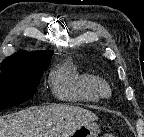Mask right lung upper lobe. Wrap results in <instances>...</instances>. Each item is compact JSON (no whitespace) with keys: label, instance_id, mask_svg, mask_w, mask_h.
Returning <instances> with one entry per match:
<instances>
[{"label":"right lung upper lobe","instance_id":"cb5924a9","mask_svg":"<svg viewBox=\"0 0 144 137\" xmlns=\"http://www.w3.org/2000/svg\"><path fill=\"white\" fill-rule=\"evenodd\" d=\"M52 51H40L34 54L28 52H20L13 54L2 62L1 67L15 65H40L50 61Z\"/></svg>","mask_w":144,"mask_h":137}]
</instances>
